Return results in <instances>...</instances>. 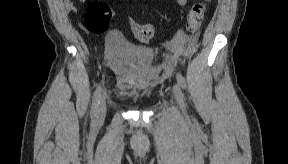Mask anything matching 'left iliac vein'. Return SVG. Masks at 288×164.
<instances>
[{"mask_svg":"<svg viewBox=\"0 0 288 164\" xmlns=\"http://www.w3.org/2000/svg\"><path fill=\"white\" fill-rule=\"evenodd\" d=\"M173 91H174V94L176 96V100H177V103L182 111V113L184 115H186V112H185V103H184V95L182 93V90L180 88V86L178 84H175L173 86Z\"/></svg>","mask_w":288,"mask_h":164,"instance_id":"obj_1","label":"left iliac vein"}]
</instances>
